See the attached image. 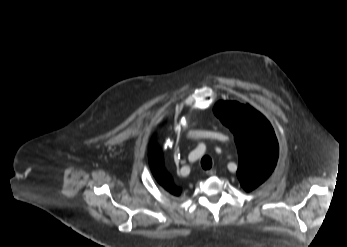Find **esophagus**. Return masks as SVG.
I'll list each match as a JSON object with an SVG mask.
<instances>
[{
  "label": "esophagus",
  "mask_w": 347,
  "mask_h": 247,
  "mask_svg": "<svg viewBox=\"0 0 347 247\" xmlns=\"http://www.w3.org/2000/svg\"><path fill=\"white\" fill-rule=\"evenodd\" d=\"M206 174L208 176H214L216 174V170L215 169L208 170V171H206Z\"/></svg>",
  "instance_id": "esophagus-1"
}]
</instances>
